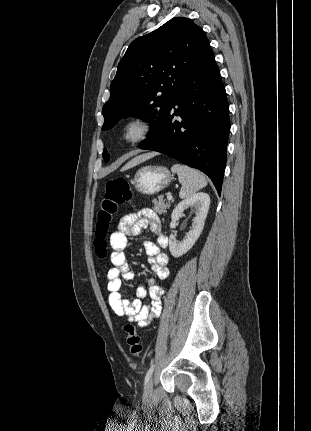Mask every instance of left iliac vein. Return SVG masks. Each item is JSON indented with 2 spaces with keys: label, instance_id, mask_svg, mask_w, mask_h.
Listing matches in <instances>:
<instances>
[{
  "label": "left iliac vein",
  "instance_id": "4c4485c4",
  "mask_svg": "<svg viewBox=\"0 0 311 431\" xmlns=\"http://www.w3.org/2000/svg\"><path fill=\"white\" fill-rule=\"evenodd\" d=\"M152 392H153V383H152V379H150L147 385L145 386L144 399H149L152 395Z\"/></svg>",
  "mask_w": 311,
  "mask_h": 431
}]
</instances>
